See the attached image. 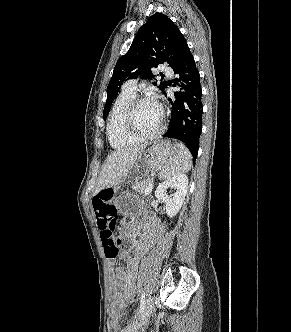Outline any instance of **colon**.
Returning a JSON list of instances; mask_svg holds the SVG:
<instances>
[{
    "label": "colon",
    "instance_id": "colon-1",
    "mask_svg": "<svg viewBox=\"0 0 291 332\" xmlns=\"http://www.w3.org/2000/svg\"><path fill=\"white\" fill-rule=\"evenodd\" d=\"M93 205L105 255L109 259H115L119 250L116 245L117 211L112 203V192H99L93 200ZM109 327L110 332H118L120 328V317L114 309L110 313Z\"/></svg>",
    "mask_w": 291,
    "mask_h": 332
}]
</instances>
